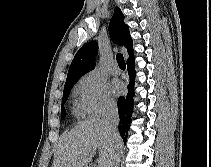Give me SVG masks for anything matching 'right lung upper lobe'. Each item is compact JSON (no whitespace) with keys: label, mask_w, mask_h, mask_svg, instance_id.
I'll return each instance as SVG.
<instances>
[{"label":"right lung upper lobe","mask_w":211,"mask_h":167,"mask_svg":"<svg viewBox=\"0 0 211 167\" xmlns=\"http://www.w3.org/2000/svg\"><path fill=\"white\" fill-rule=\"evenodd\" d=\"M109 31L117 44L124 45L127 48L129 53L128 61L134 58L133 41L128 25L124 23V15L119 8L116 9L110 21ZM97 51L98 45L95 41H90L80 48L70 65L66 82L78 80L83 74L93 70Z\"/></svg>","instance_id":"cb5924a9"}]
</instances>
